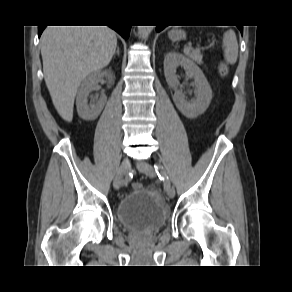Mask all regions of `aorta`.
I'll use <instances>...</instances> for the list:
<instances>
[{"label":"aorta","instance_id":"obj_1","mask_svg":"<svg viewBox=\"0 0 292 292\" xmlns=\"http://www.w3.org/2000/svg\"><path fill=\"white\" fill-rule=\"evenodd\" d=\"M153 26H138V35L142 39L148 38L149 34L151 33Z\"/></svg>","mask_w":292,"mask_h":292}]
</instances>
